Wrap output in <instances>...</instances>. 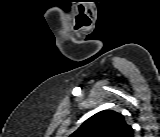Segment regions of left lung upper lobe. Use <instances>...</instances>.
<instances>
[{"instance_id":"left-lung-upper-lobe-1","label":"left lung upper lobe","mask_w":160,"mask_h":137,"mask_svg":"<svg viewBox=\"0 0 160 137\" xmlns=\"http://www.w3.org/2000/svg\"><path fill=\"white\" fill-rule=\"evenodd\" d=\"M70 137H133L122 114L104 110L87 119Z\"/></svg>"}]
</instances>
